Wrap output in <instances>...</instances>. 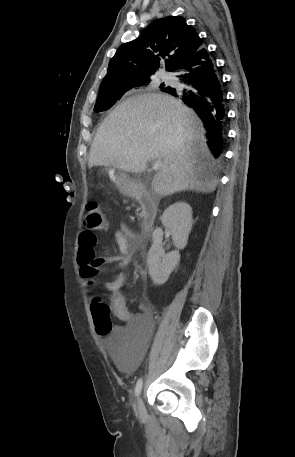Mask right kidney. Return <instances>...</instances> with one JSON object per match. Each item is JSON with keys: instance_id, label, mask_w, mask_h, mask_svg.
<instances>
[{"instance_id": "right-kidney-1", "label": "right kidney", "mask_w": 295, "mask_h": 457, "mask_svg": "<svg viewBox=\"0 0 295 457\" xmlns=\"http://www.w3.org/2000/svg\"><path fill=\"white\" fill-rule=\"evenodd\" d=\"M162 224L169 229L173 244L177 248L165 254L162 247L163 231L156 228L152 235V246L148 253L149 275L154 284H164L180 261L179 249L185 248L192 228V208L186 202H176L163 213Z\"/></svg>"}]
</instances>
